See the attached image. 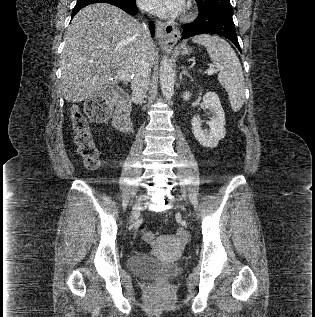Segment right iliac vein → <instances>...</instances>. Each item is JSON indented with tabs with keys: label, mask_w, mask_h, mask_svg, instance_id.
<instances>
[{
	"label": "right iliac vein",
	"mask_w": 315,
	"mask_h": 317,
	"mask_svg": "<svg viewBox=\"0 0 315 317\" xmlns=\"http://www.w3.org/2000/svg\"><path fill=\"white\" fill-rule=\"evenodd\" d=\"M141 198L138 199L137 203L135 204L133 211H132V215H131V219L130 222L134 223L135 221V217L137 216V214L139 213V210L141 208Z\"/></svg>",
	"instance_id": "obj_1"
}]
</instances>
